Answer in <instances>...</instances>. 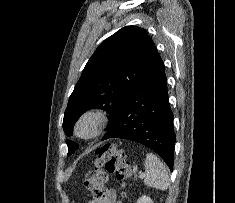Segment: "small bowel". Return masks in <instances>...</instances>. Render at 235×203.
Wrapping results in <instances>:
<instances>
[{"label": "small bowel", "mask_w": 235, "mask_h": 203, "mask_svg": "<svg viewBox=\"0 0 235 203\" xmlns=\"http://www.w3.org/2000/svg\"><path fill=\"white\" fill-rule=\"evenodd\" d=\"M117 193L114 189H108L104 197L94 199L89 203H116Z\"/></svg>", "instance_id": "1"}]
</instances>
